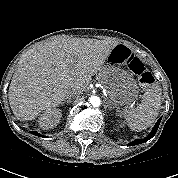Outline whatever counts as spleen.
Listing matches in <instances>:
<instances>
[{
	"instance_id": "3e777b00",
	"label": "spleen",
	"mask_w": 178,
	"mask_h": 178,
	"mask_svg": "<svg viewBox=\"0 0 178 178\" xmlns=\"http://www.w3.org/2000/svg\"><path fill=\"white\" fill-rule=\"evenodd\" d=\"M161 97V86L157 82L150 84L142 96L141 104L122 112L127 125L134 131H142L150 127L159 114Z\"/></svg>"
}]
</instances>
